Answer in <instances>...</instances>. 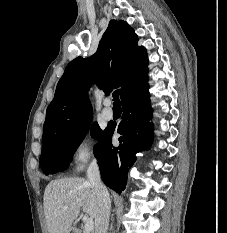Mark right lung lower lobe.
<instances>
[{
    "label": "right lung lower lobe",
    "mask_w": 227,
    "mask_h": 233,
    "mask_svg": "<svg viewBox=\"0 0 227 233\" xmlns=\"http://www.w3.org/2000/svg\"><path fill=\"white\" fill-rule=\"evenodd\" d=\"M149 102L148 85L123 100L122 120L117 126L120 145L113 147L111 144L115 125L106 129L95 151L104 183L119 194L125 189L135 154L150 147L153 139V127L148 123L151 118Z\"/></svg>",
    "instance_id": "right-lung-lower-lobe-1"
}]
</instances>
